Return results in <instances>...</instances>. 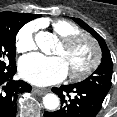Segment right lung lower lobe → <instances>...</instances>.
Wrapping results in <instances>:
<instances>
[{
    "instance_id": "right-lung-lower-lobe-1",
    "label": "right lung lower lobe",
    "mask_w": 117,
    "mask_h": 117,
    "mask_svg": "<svg viewBox=\"0 0 117 117\" xmlns=\"http://www.w3.org/2000/svg\"><path fill=\"white\" fill-rule=\"evenodd\" d=\"M15 73L16 65L0 71V117H14L18 94L31 91V85L28 83L12 80Z\"/></svg>"
}]
</instances>
